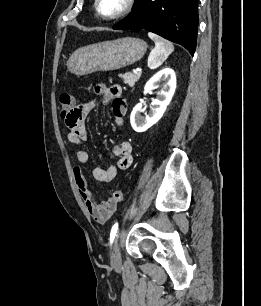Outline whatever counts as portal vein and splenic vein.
<instances>
[{"label":"portal vein and splenic vein","mask_w":261,"mask_h":306,"mask_svg":"<svg viewBox=\"0 0 261 306\" xmlns=\"http://www.w3.org/2000/svg\"><path fill=\"white\" fill-rule=\"evenodd\" d=\"M141 70L140 69H134L133 72L136 74L138 72H140Z\"/></svg>","instance_id":"1"}]
</instances>
